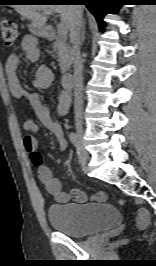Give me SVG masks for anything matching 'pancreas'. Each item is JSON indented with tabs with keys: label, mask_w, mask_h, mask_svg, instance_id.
<instances>
[{
	"label": "pancreas",
	"mask_w": 156,
	"mask_h": 266,
	"mask_svg": "<svg viewBox=\"0 0 156 266\" xmlns=\"http://www.w3.org/2000/svg\"><path fill=\"white\" fill-rule=\"evenodd\" d=\"M53 51L57 53L61 72L66 73L73 62V51L67 44L65 37H59L54 42Z\"/></svg>",
	"instance_id": "cf45deb5"
}]
</instances>
